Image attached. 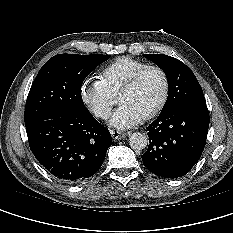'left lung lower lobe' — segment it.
Listing matches in <instances>:
<instances>
[{
	"mask_svg": "<svg viewBox=\"0 0 233 233\" xmlns=\"http://www.w3.org/2000/svg\"><path fill=\"white\" fill-rule=\"evenodd\" d=\"M208 128L206 105H183L160 113L147 127L149 147L141 156L143 164L164 178L187 174L204 150Z\"/></svg>",
	"mask_w": 233,
	"mask_h": 233,
	"instance_id": "0a47b994",
	"label": "left lung lower lobe"
}]
</instances>
